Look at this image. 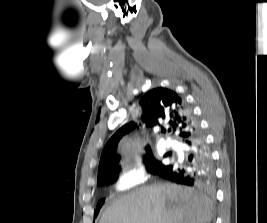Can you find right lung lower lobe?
<instances>
[{"label":"right lung lower lobe","mask_w":267,"mask_h":223,"mask_svg":"<svg viewBox=\"0 0 267 223\" xmlns=\"http://www.w3.org/2000/svg\"><path fill=\"white\" fill-rule=\"evenodd\" d=\"M193 130L195 134L184 142L186 164L167 165L158 174L177 184L209 188L215 179L212 156L198 124Z\"/></svg>","instance_id":"1"}]
</instances>
